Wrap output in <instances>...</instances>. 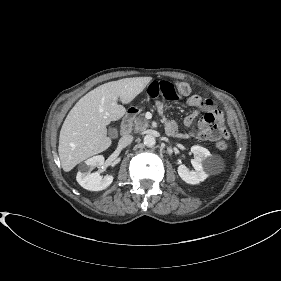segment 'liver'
Here are the masks:
<instances>
[{"mask_svg": "<svg viewBox=\"0 0 281 281\" xmlns=\"http://www.w3.org/2000/svg\"><path fill=\"white\" fill-rule=\"evenodd\" d=\"M151 77L124 78L102 84L88 92L68 113L59 136L58 153L65 172L85 159L108 149L112 143L106 126L122 118L130 103Z\"/></svg>", "mask_w": 281, "mask_h": 281, "instance_id": "obj_1", "label": "liver"}]
</instances>
